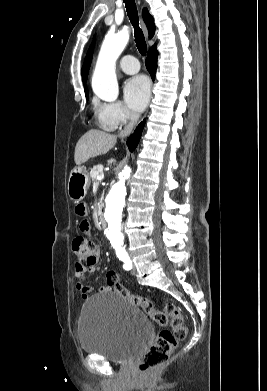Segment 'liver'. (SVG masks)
<instances>
[{
  "mask_svg": "<svg viewBox=\"0 0 267 391\" xmlns=\"http://www.w3.org/2000/svg\"><path fill=\"white\" fill-rule=\"evenodd\" d=\"M117 142V137L106 132L91 129L77 142L74 160L76 165H81L91 158L106 154Z\"/></svg>",
  "mask_w": 267,
  "mask_h": 391,
  "instance_id": "6515ba94",
  "label": "liver"
}]
</instances>
